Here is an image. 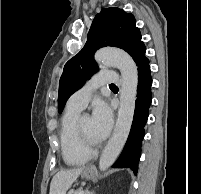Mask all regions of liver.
<instances>
[{"mask_svg": "<svg viewBox=\"0 0 201 194\" xmlns=\"http://www.w3.org/2000/svg\"><path fill=\"white\" fill-rule=\"evenodd\" d=\"M83 170L84 167H80L57 172L51 180L49 194H66Z\"/></svg>", "mask_w": 201, "mask_h": 194, "instance_id": "1", "label": "liver"}]
</instances>
